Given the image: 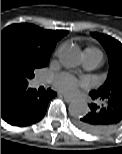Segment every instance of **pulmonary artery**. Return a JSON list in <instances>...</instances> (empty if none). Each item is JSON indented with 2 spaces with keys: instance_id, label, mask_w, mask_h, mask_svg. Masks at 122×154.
Listing matches in <instances>:
<instances>
[{
  "instance_id": "pulmonary-artery-1",
  "label": "pulmonary artery",
  "mask_w": 122,
  "mask_h": 154,
  "mask_svg": "<svg viewBox=\"0 0 122 154\" xmlns=\"http://www.w3.org/2000/svg\"><path fill=\"white\" fill-rule=\"evenodd\" d=\"M102 62V55L100 52L97 51H85L84 54V68L87 70H93L100 66ZM41 82L39 81L37 84H40Z\"/></svg>"
}]
</instances>
